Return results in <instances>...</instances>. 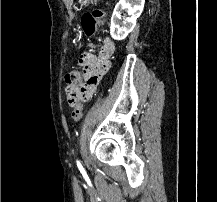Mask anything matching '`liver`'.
Returning <instances> with one entry per match:
<instances>
[{"instance_id":"obj_1","label":"liver","mask_w":217,"mask_h":202,"mask_svg":"<svg viewBox=\"0 0 217 202\" xmlns=\"http://www.w3.org/2000/svg\"><path fill=\"white\" fill-rule=\"evenodd\" d=\"M65 6H67V10H71V6L73 4V0H63Z\"/></svg>"}]
</instances>
